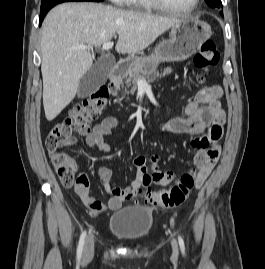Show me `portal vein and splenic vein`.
Returning a JSON list of instances; mask_svg holds the SVG:
<instances>
[{
  "mask_svg": "<svg viewBox=\"0 0 265 269\" xmlns=\"http://www.w3.org/2000/svg\"><path fill=\"white\" fill-rule=\"evenodd\" d=\"M112 47H113V42L109 41V42H106V43L103 44L102 49L103 50H110ZM77 48L79 50H82V51L92 50L91 47H88V46H85V45H80ZM137 83H139V84H146V81L140 79V80L137 81Z\"/></svg>",
  "mask_w": 265,
  "mask_h": 269,
  "instance_id": "obj_1",
  "label": "portal vein and splenic vein"
}]
</instances>
